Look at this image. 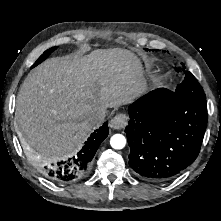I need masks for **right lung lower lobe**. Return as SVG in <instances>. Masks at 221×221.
Here are the masks:
<instances>
[{
  "mask_svg": "<svg viewBox=\"0 0 221 221\" xmlns=\"http://www.w3.org/2000/svg\"><path fill=\"white\" fill-rule=\"evenodd\" d=\"M108 123L95 130L76 156L64 161H39L38 170L48 179L57 183H69L82 178L89 170L91 161L101 144L108 136Z\"/></svg>",
  "mask_w": 221,
  "mask_h": 221,
  "instance_id": "right-lung-lower-lobe-1",
  "label": "right lung lower lobe"
}]
</instances>
